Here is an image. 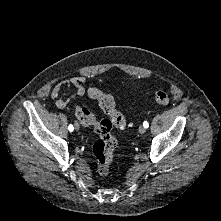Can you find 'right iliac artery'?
Here are the masks:
<instances>
[{"label":"right iliac artery","mask_w":221,"mask_h":221,"mask_svg":"<svg viewBox=\"0 0 221 221\" xmlns=\"http://www.w3.org/2000/svg\"><path fill=\"white\" fill-rule=\"evenodd\" d=\"M68 129H69L70 132H72L73 129H74L73 125L70 124V125L68 126Z\"/></svg>","instance_id":"82829eb1"}]
</instances>
